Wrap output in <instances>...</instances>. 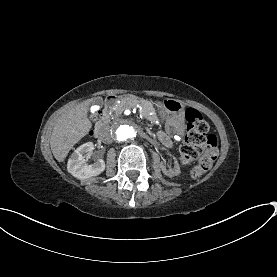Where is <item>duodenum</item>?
Listing matches in <instances>:
<instances>
[{"label": "duodenum", "mask_w": 277, "mask_h": 277, "mask_svg": "<svg viewBox=\"0 0 277 277\" xmlns=\"http://www.w3.org/2000/svg\"><path fill=\"white\" fill-rule=\"evenodd\" d=\"M127 98H128L127 95H123V94H114L106 98L104 107L102 110L101 118L95 125L94 131L96 136H99L104 130L107 118L110 112L112 111V109L114 108V106L117 104V102L121 100H125Z\"/></svg>", "instance_id": "410a0bca"}]
</instances>
